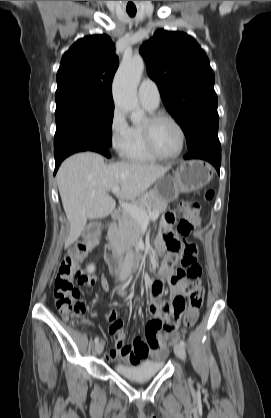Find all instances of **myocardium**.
<instances>
[{"label": "myocardium", "instance_id": "obj_1", "mask_svg": "<svg viewBox=\"0 0 271 418\" xmlns=\"http://www.w3.org/2000/svg\"><path fill=\"white\" fill-rule=\"evenodd\" d=\"M163 120L171 122L178 129L179 134H180V147H179V150L173 155L162 154L161 152H159V150L157 149L154 143V137H153L154 127L158 122L163 121ZM142 131H143V137H144V141H145L148 151L157 159H161V160L176 159L182 154L185 148L186 133H185L184 128L173 116L167 113L156 112V113L150 114L146 122L142 125Z\"/></svg>", "mask_w": 271, "mask_h": 418}]
</instances>
